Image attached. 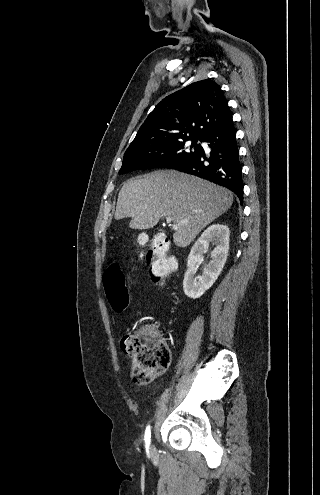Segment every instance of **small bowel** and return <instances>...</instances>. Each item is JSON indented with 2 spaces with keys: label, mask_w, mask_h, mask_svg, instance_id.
Listing matches in <instances>:
<instances>
[{
  "label": "small bowel",
  "mask_w": 320,
  "mask_h": 495,
  "mask_svg": "<svg viewBox=\"0 0 320 495\" xmlns=\"http://www.w3.org/2000/svg\"><path fill=\"white\" fill-rule=\"evenodd\" d=\"M132 313L135 315H141L142 314V312L140 310H134V311H132Z\"/></svg>",
  "instance_id": "1"
}]
</instances>
